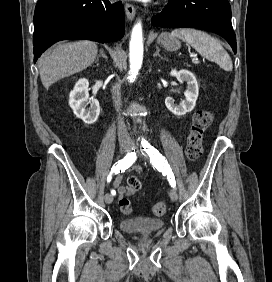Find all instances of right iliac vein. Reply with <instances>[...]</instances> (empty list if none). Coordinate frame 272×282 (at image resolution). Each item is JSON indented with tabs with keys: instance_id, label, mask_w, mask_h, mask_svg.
Listing matches in <instances>:
<instances>
[{
	"instance_id": "63e3f726",
	"label": "right iliac vein",
	"mask_w": 272,
	"mask_h": 282,
	"mask_svg": "<svg viewBox=\"0 0 272 282\" xmlns=\"http://www.w3.org/2000/svg\"><path fill=\"white\" fill-rule=\"evenodd\" d=\"M119 149H120L121 154L129 152V150H130L129 142L126 141V140H121L119 142ZM105 202L107 204H111L113 202V196L111 194H106L105 195Z\"/></svg>"
}]
</instances>
